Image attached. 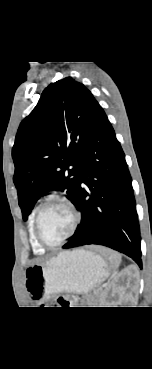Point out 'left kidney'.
<instances>
[{
    "mask_svg": "<svg viewBox=\"0 0 152 369\" xmlns=\"http://www.w3.org/2000/svg\"><path fill=\"white\" fill-rule=\"evenodd\" d=\"M139 286V273L135 266L124 269L101 294V307H117L120 302L129 298L127 289L137 290Z\"/></svg>",
    "mask_w": 152,
    "mask_h": 369,
    "instance_id": "left-kidney-1",
    "label": "left kidney"
}]
</instances>
